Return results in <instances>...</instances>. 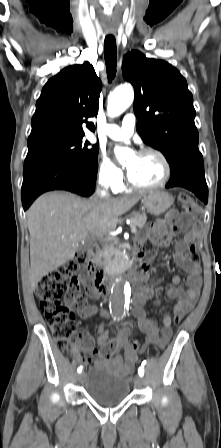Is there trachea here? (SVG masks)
Listing matches in <instances>:
<instances>
[{"label":"trachea","instance_id":"obj_1","mask_svg":"<svg viewBox=\"0 0 221 448\" xmlns=\"http://www.w3.org/2000/svg\"><path fill=\"white\" fill-rule=\"evenodd\" d=\"M104 57L109 81H112L116 74L117 66V46L114 36H107L104 41Z\"/></svg>","mask_w":221,"mask_h":448}]
</instances>
